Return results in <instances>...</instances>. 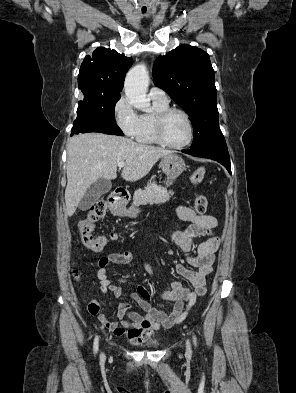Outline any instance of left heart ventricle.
Returning a JSON list of instances; mask_svg holds the SVG:
<instances>
[{
	"label": "left heart ventricle",
	"mask_w": 296,
	"mask_h": 393,
	"mask_svg": "<svg viewBox=\"0 0 296 393\" xmlns=\"http://www.w3.org/2000/svg\"><path fill=\"white\" fill-rule=\"evenodd\" d=\"M189 128L185 118L180 114H172L166 120L164 137L171 144H181L187 140Z\"/></svg>",
	"instance_id": "1"
}]
</instances>
